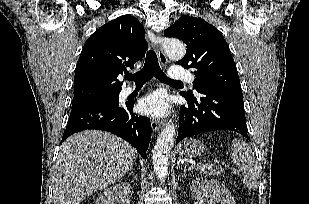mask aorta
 <instances>
[{"instance_id":"aorta-1","label":"aorta","mask_w":309,"mask_h":204,"mask_svg":"<svg viewBox=\"0 0 309 204\" xmlns=\"http://www.w3.org/2000/svg\"><path fill=\"white\" fill-rule=\"evenodd\" d=\"M165 52L170 59L180 60L184 57L185 45L179 40H169ZM176 136V126L168 123L157 138L153 150V167L157 178L162 182L168 174V161Z\"/></svg>"}]
</instances>
